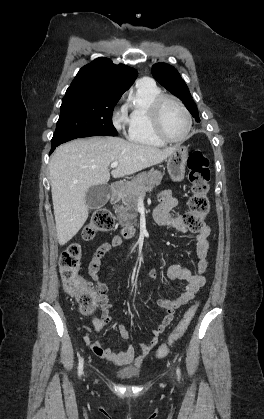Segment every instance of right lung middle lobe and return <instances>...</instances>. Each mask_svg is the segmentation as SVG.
<instances>
[{"mask_svg": "<svg viewBox=\"0 0 264 419\" xmlns=\"http://www.w3.org/2000/svg\"><path fill=\"white\" fill-rule=\"evenodd\" d=\"M120 97L118 94L85 88H68L62 100L51 145H60L83 134L117 136L112 124V113Z\"/></svg>", "mask_w": 264, "mask_h": 419, "instance_id": "right-lung-middle-lobe-1", "label": "right lung middle lobe"}]
</instances>
